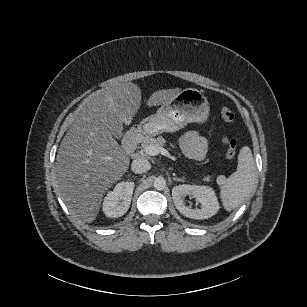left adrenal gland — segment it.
<instances>
[{
	"instance_id": "1",
	"label": "left adrenal gland",
	"mask_w": 307,
	"mask_h": 307,
	"mask_svg": "<svg viewBox=\"0 0 307 307\" xmlns=\"http://www.w3.org/2000/svg\"><path fill=\"white\" fill-rule=\"evenodd\" d=\"M173 180H174V181H180V182H184V179H181V178H177V177H174V178H173Z\"/></svg>"
}]
</instances>
